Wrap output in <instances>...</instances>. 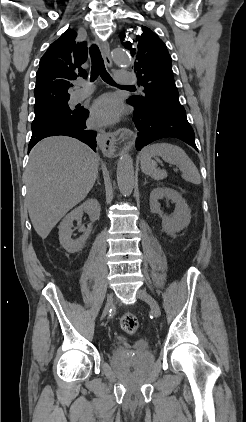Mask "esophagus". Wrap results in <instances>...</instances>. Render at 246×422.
<instances>
[{"mask_svg":"<svg viewBox=\"0 0 246 422\" xmlns=\"http://www.w3.org/2000/svg\"><path fill=\"white\" fill-rule=\"evenodd\" d=\"M99 47L106 65L111 67L113 63L110 56L109 43L107 41H100ZM98 143L105 155H114L116 153L118 140L114 134L108 133L105 130H100L98 134Z\"/></svg>","mask_w":246,"mask_h":422,"instance_id":"34e87169","label":"esophagus"}]
</instances>
